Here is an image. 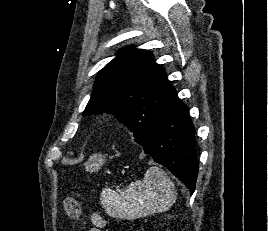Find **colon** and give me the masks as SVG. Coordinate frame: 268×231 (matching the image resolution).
I'll use <instances>...</instances> for the list:
<instances>
[{
	"instance_id": "obj_1",
	"label": "colon",
	"mask_w": 268,
	"mask_h": 231,
	"mask_svg": "<svg viewBox=\"0 0 268 231\" xmlns=\"http://www.w3.org/2000/svg\"><path fill=\"white\" fill-rule=\"evenodd\" d=\"M63 209L65 214L74 221L81 219V207L79 202L70 196L63 198Z\"/></svg>"
}]
</instances>
